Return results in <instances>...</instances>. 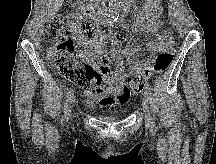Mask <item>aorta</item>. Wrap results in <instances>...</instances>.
Segmentation results:
<instances>
[{
	"instance_id": "1",
	"label": "aorta",
	"mask_w": 216,
	"mask_h": 164,
	"mask_svg": "<svg viewBox=\"0 0 216 164\" xmlns=\"http://www.w3.org/2000/svg\"><path fill=\"white\" fill-rule=\"evenodd\" d=\"M110 13L112 16H118L120 12V0H109Z\"/></svg>"
}]
</instances>
